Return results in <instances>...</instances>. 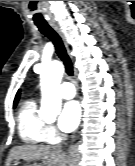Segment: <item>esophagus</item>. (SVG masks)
Here are the masks:
<instances>
[{
    "mask_svg": "<svg viewBox=\"0 0 135 166\" xmlns=\"http://www.w3.org/2000/svg\"><path fill=\"white\" fill-rule=\"evenodd\" d=\"M50 24H51V26L58 32V34H59L62 38H64V37H63V34H62V31L60 30V28H59L54 22H51Z\"/></svg>",
    "mask_w": 135,
    "mask_h": 166,
    "instance_id": "esophagus-1",
    "label": "esophagus"
}]
</instances>
